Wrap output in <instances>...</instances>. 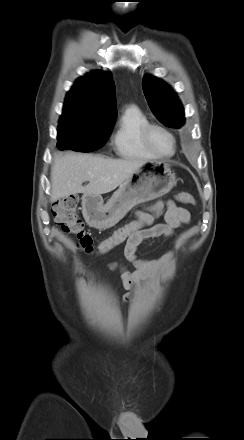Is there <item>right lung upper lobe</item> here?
Wrapping results in <instances>:
<instances>
[{
  "mask_svg": "<svg viewBox=\"0 0 244 440\" xmlns=\"http://www.w3.org/2000/svg\"><path fill=\"white\" fill-rule=\"evenodd\" d=\"M115 94L109 72L94 71L79 78L66 96L60 122L114 123L117 114Z\"/></svg>",
  "mask_w": 244,
  "mask_h": 440,
  "instance_id": "1",
  "label": "right lung upper lobe"
}]
</instances>
